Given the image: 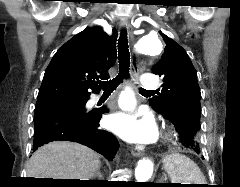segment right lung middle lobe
<instances>
[{"mask_svg":"<svg viewBox=\"0 0 240 187\" xmlns=\"http://www.w3.org/2000/svg\"><path fill=\"white\" fill-rule=\"evenodd\" d=\"M86 98L62 99L35 108V115L52 107H62L70 112H85Z\"/></svg>","mask_w":240,"mask_h":187,"instance_id":"right-lung-middle-lobe-1","label":"right lung middle lobe"}]
</instances>
